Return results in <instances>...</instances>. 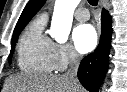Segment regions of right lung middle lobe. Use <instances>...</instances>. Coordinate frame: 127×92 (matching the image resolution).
Returning a JSON list of instances; mask_svg holds the SVG:
<instances>
[{
	"label": "right lung middle lobe",
	"mask_w": 127,
	"mask_h": 92,
	"mask_svg": "<svg viewBox=\"0 0 127 92\" xmlns=\"http://www.w3.org/2000/svg\"><path fill=\"white\" fill-rule=\"evenodd\" d=\"M21 30L22 29H20V30L16 31L15 33H13L12 42H11V51H10V55L8 57L9 63H11V59H12L13 52H14V47H15V42L17 41V37L20 34Z\"/></svg>",
	"instance_id": "obj_1"
}]
</instances>
